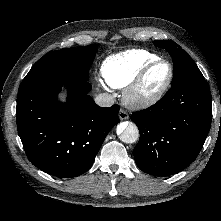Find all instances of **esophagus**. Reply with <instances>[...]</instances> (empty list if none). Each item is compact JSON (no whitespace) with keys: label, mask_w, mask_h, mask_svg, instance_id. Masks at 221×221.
Listing matches in <instances>:
<instances>
[{"label":"esophagus","mask_w":221,"mask_h":221,"mask_svg":"<svg viewBox=\"0 0 221 221\" xmlns=\"http://www.w3.org/2000/svg\"><path fill=\"white\" fill-rule=\"evenodd\" d=\"M118 115H119L120 120H126V119L129 118L128 113L125 110H123V109H120Z\"/></svg>","instance_id":"1"}]
</instances>
